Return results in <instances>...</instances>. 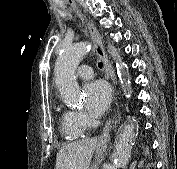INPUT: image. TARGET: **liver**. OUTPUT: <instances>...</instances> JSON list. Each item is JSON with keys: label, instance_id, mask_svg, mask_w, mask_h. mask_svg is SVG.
Returning <instances> with one entry per match:
<instances>
[{"label": "liver", "instance_id": "1", "mask_svg": "<svg viewBox=\"0 0 177 169\" xmlns=\"http://www.w3.org/2000/svg\"><path fill=\"white\" fill-rule=\"evenodd\" d=\"M95 138L76 141L57 153L55 169H89L93 154L100 146Z\"/></svg>", "mask_w": 177, "mask_h": 169}]
</instances>
